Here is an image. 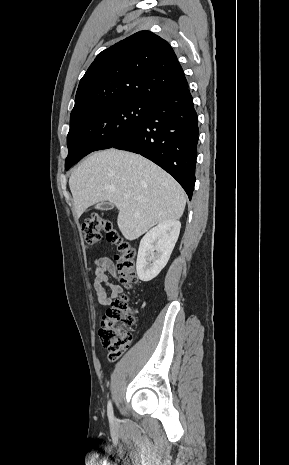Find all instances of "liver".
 Here are the masks:
<instances>
[{"instance_id": "6515ba94", "label": "liver", "mask_w": 289, "mask_h": 465, "mask_svg": "<svg viewBox=\"0 0 289 465\" xmlns=\"http://www.w3.org/2000/svg\"><path fill=\"white\" fill-rule=\"evenodd\" d=\"M69 187L77 218L102 201L119 210L117 224L127 240L154 225L179 219L185 208L182 187L141 155L114 148L95 152L71 174Z\"/></svg>"}]
</instances>
